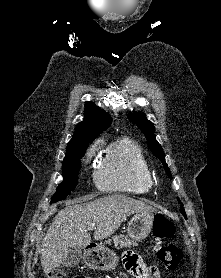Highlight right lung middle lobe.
I'll return each mask as SVG.
<instances>
[{
	"mask_svg": "<svg viewBox=\"0 0 221 278\" xmlns=\"http://www.w3.org/2000/svg\"><path fill=\"white\" fill-rule=\"evenodd\" d=\"M88 145H82L76 149L66 152L63 160V182L58 186L56 193L52 196L51 203L65 199L78 183V174L81 169L80 159L84 156Z\"/></svg>",
	"mask_w": 221,
	"mask_h": 278,
	"instance_id": "right-lung-middle-lobe-1",
	"label": "right lung middle lobe"
}]
</instances>
